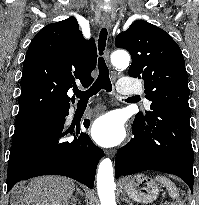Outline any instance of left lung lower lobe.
Here are the masks:
<instances>
[{"label":"left lung lower lobe","instance_id":"left-lung-lower-lobe-1","mask_svg":"<svg viewBox=\"0 0 199 205\" xmlns=\"http://www.w3.org/2000/svg\"><path fill=\"white\" fill-rule=\"evenodd\" d=\"M151 115L148 123H133V139L116 155V179L157 170L182 178L192 192L194 152L190 116L165 109H153Z\"/></svg>","mask_w":199,"mask_h":205}]
</instances>
